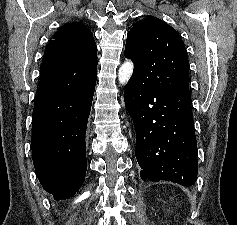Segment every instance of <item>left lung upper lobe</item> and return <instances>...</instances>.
<instances>
[{"label": "left lung upper lobe", "instance_id": "obj_1", "mask_svg": "<svg viewBox=\"0 0 237 225\" xmlns=\"http://www.w3.org/2000/svg\"><path fill=\"white\" fill-rule=\"evenodd\" d=\"M125 57L134 62L132 80L161 92H189V61L180 35L162 20L147 16L127 34Z\"/></svg>", "mask_w": 237, "mask_h": 225}]
</instances>
